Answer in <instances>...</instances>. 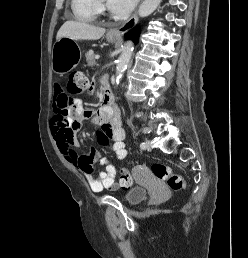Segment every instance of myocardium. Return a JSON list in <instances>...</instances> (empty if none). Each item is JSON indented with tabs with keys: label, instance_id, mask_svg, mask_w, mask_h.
I'll return each mask as SVG.
<instances>
[{
	"label": "myocardium",
	"instance_id": "f54148a6",
	"mask_svg": "<svg viewBox=\"0 0 248 258\" xmlns=\"http://www.w3.org/2000/svg\"><path fill=\"white\" fill-rule=\"evenodd\" d=\"M99 8L104 9L103 0H98Z\"/></svg>",
	"mask_w": 248,
	"mask_h": 258
}]
</instances>
